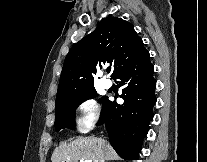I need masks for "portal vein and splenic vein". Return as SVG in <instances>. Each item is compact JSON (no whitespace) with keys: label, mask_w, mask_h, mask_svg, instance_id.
I'll return each instance as SVG.
<instances>
[{"label":"portal vein and splenic vein","mask_w":207,"mask_h":162,"mask_svg":"<svg viewBox=\"0 0 207 162\" xmlns=\"http://www.w3.org/2000/svg\"><path fill=\"white\" fill-rule=\"evenodd\" d=\"M80 162H92V160H80ZM98 162V161H95Z\"/></svg>","instance_id":"portal-vein-and-splenic-vein-1"}]
</instances>
